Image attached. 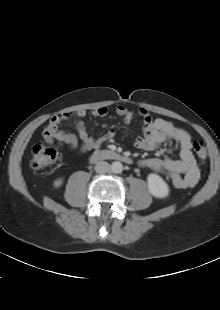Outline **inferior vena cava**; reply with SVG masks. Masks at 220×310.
Returning <instances> with one entry per match:
<instances>
[{
  "label": "inferior vena cava",
  "mask_w": 220,
  "mask_h": 310,
  "mask_svg": "<svg viewBox=\"0 0 220 310\" xmlns=\"http://www.w3.org/2000/svg\"><path fill=\"white\" fill-rule=\"evenodd\" d=\"M95 171L98 174H105V173L110 171V165L107 162H105V161H99L95 165Z\"/></svg>",
  "instance_id": "1"
}]
</instances>
